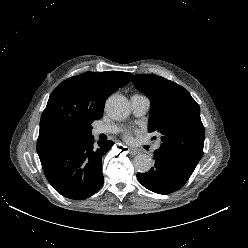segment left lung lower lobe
Returning a JSON list of instances; mask_svg holds the SVG:
<instances>
[{
  "label": "left lung lower lobe",
  "instance_id": "0a47b994",
  "mask_svg": "<svg viewBox=\"0 0 248 248\" xmlns=\"http://www.w3.org/2000/svg\"><path fill=\"white\" fill-rule=\"evenodd\" d=\"M154 159V167L146 173H138L137 178L145 188L158 194H169L180 189L194 171L159 150H155Z\"/></svg>",
  "mask_w": 248,
  "mask_h": 248
}]
</instances>
